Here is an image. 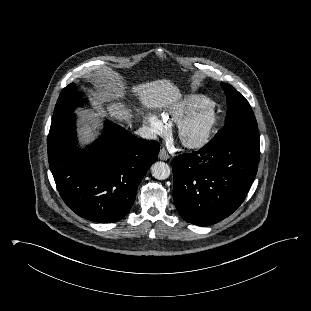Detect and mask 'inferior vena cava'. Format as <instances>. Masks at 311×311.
Here are the masks:
<instances>
[{
  "label": "inferior vena cava",
  "mask_w": 311,
  "mask_h": 311,
  "mask_svg": "<svg viewBox=\"0 0 311 311\" xmlns=\"http://www.w3.org/2000/svg\"><path fill=\"white\" fill-rule=\"evenodd\" d=\"M135 133L144 139H156L157 138V136L153 133V131L147 126H143L139 128Z\"/></svg>",
  "instance_id": "obj_1"
}]
</instances>
